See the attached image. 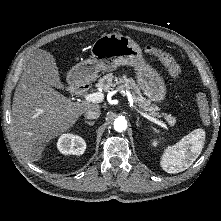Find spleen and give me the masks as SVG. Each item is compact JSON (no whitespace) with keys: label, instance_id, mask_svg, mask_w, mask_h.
Listing matches in <instances>:
<instances>
[{"label":"spleen","instance_id":"1","mask_svg":"<svg viewBox=\"0 0 221 221\" xmlns=\"http://www.w3.org/2000/svg\"><path fill=\"white\" fill-rule=\"evenodd\" d=\"M205 131L196 129L173 146H168L161 157L160 165L170 174L188 169L204 147Z\"/></svg>","mask_w":221,"mask_h":221}]
</instances>
